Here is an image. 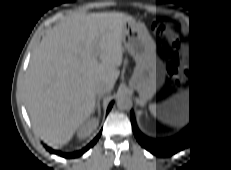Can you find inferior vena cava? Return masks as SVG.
I'll return each instance as SVG.
<instances>
[{
  "mask_svg": "<svg viewBox=\"0 0 231 170\" xmlns=\"http://www.w3.org/2000/svg\"><path fill=\"white\" fill-rule=\"evenodd\" d=\"M95 93L98 96H103L105 94H108L111 90V86L110 84L106 83V82H99L95 85Z\"/></svg>",
  "mask_w": 231,
  "mask_h": 170,
  "instance_id": "inferior-vena-cava-1",
  "label": "inferior vena cava"
}]
</instances>
